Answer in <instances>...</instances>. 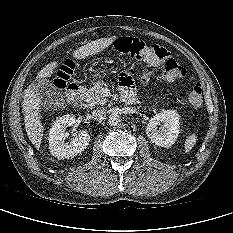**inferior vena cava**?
Wrapping results in <instances>:
<instances>
[{"label": "inferior vena cava", "instance_id": "obj_1", "mask_svg": "<svg viewBox=\"0 0 233 233\" xmlns=\"http://www.w3.org/2000/svg\"><path fill=\"white\" fill-rule=\"evenodd\" d=\"M105 116H106V112L104 109H95L93 110L92 112V117L94 120L98 121V122H101L105 119Z\"/></svg>", "mask_w": 233, "mask_h": 233}]
</instances>
